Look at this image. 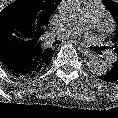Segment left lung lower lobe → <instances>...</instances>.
Instances as JSON below:
<instances>
[{
    "mask_svg": "<svg viewBox=\"0 0 118 118\" xmlns=\"http://www.w3.org/2000/svg\"><path fill=\"white\" fill-rule=\"evenodd\" d=\"M99 78L105 82L118 83V67L111 65L103 74L99 75Z\"/></svg>",
    "mask_w": 118,
    "mask_h": 118,
    "instance_id": "left-lung-lower-lobe-1",
    "label": "left lung lower lobe"
}]
</instances>
